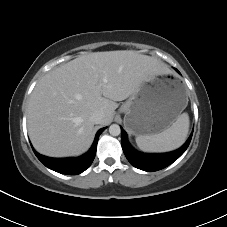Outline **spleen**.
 <instances>
[{"label": "spleen", "instance_id": "spleen-1", "mask_svg": "<svg viewBox=\"0 0 227 227\" xmlns=\"http://www.w3.org/2000/svg\"><path fill=\"white\" fill-rule=\"evenodd\" d=\"M188 131L189 116L183 113L161 133L137 136L136 143L145 152H168L179 148L185 142Z\"/></svg>", "mask_w": 227, "mask_h": 227}]
</instances>
